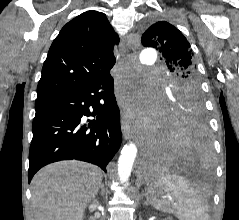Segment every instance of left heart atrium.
Masks as SVG:
<instances>
[{
  "label": "left heart atrium",
  "mask_w": 239,
  "mask_h": 220,
  "mask_svg": "<svg viewBox=\"0 0 239 220\" xmlns=\"http://www.w3.org/2000/svg\"><path fill=\"white\" fill-rule=\"evenodd\" d=\"M131 124H132V126H135L136 124H137V122H136V119H131Z\"/></svg>",
  "instance_id": "left-heart-atrium-1"
}]
</instances>
